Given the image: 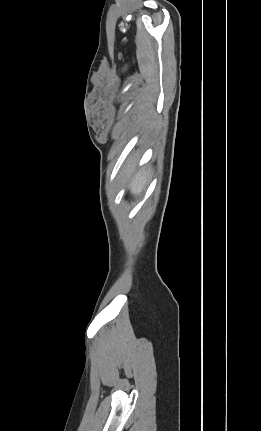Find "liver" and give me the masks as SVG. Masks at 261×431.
<instances>
[{
    "instance_id": "liver-1",
    "label": "liver",
    "mask_w": 261,
    "mask_h": 431,
    "mask_svg": "<svg viewBox=\"0 0 261 431\" xmlns=\"http://www.w3.org/2000/svg\"><path fill=\"white\" fill-rule=\"evenodd\" d=\"M134 166H130L127 171V177L129 178L133 172ZM149 179L148 171H139L130 181L129 187L130 192L134 195L140 194L142 190L145 188Z\"/></svg>"
}]
</instances>
